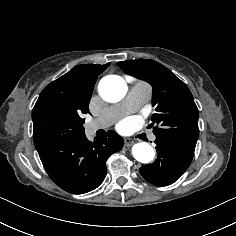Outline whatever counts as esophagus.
Instances as JSON below:
<instances>
[{"label":"esophagus","mask_w":236,"mask_h":236,"mask_svg":"<svg viewBox=\"0 0 236 236\" xmlns=\"http://www.w3.org/2000/svg\"><path fill=\"white\" fill-rule=\"evenodd\" d=\"M125 145H126L127 147H130V146L132 145V142H131V141H129V142L126 141V142H125Z\"/></svg>","instance_id":"34e87169"}]
</instances>
